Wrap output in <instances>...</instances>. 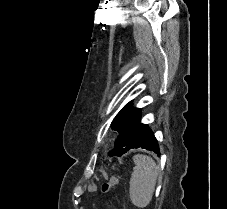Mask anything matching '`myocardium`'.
<instances>
[{
	"mask_svg": "<svg viewBox=\"0 0 227 209\" xmlns=\"http://www.w3.org/2000/svg\"><path fill=\"white\" fill-rule=\"evenodd\" d=\"M100 143L106 148V147L110 146L111 140L108 138H105V139L100 140Z\"/></svg>",
	"mask_w": 227,
	"mask_h": 209,
	"instance_id": "obj_1",
	"label": "myocardium"
}]
</instances>
